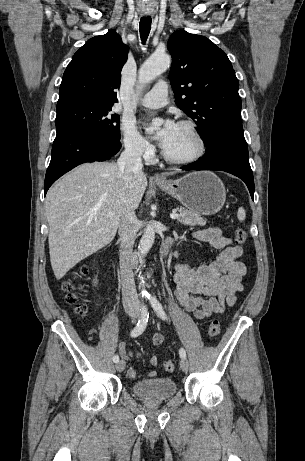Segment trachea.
Returning <instances> with one entry per match:
<instances>
[{
    "label": "trachea",
    "mask_w": 305,
    "mask_h": 461,
    "mask_svg": "<svg viewBox=\"0 0 305 461\" xmlns=\"http://www.w3.org/2000/svg\"><path fill=\"white\" fill-rule=\"evenodd\" d=\"M151 22L152 21L150 17L141 18L140 20L139 29H140V37H141L143 44L146 42L148 35L150 33Z\"/></svg>",
    "instance_id": "obj_1"
}]
</instances>
